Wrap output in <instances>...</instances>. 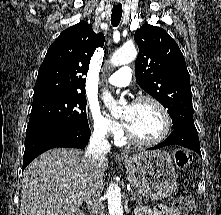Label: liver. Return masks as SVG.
I'll return each mask as SVG.
<instances>
[{
	"label": "liver",
	"mask_w": 221,
	"mask_h": 215,
	"mask_svg": "<svg viewBox=\"0 0 221 215\" xmlns=\"http://www.w3.org/2000/svg\"><path fill=\"white\" fill-rule=\"evenodd\" d=\"M86 153L54 148L31 162L23 172L20 215H74L90 185L102 186L108 167L104 158L95 168Z\"/></svg>",
	"instance_id": "1"
}]
</instances>
